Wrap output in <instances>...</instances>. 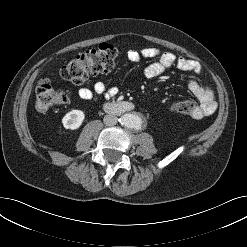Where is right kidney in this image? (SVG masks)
Instances as JSON below:
<instances>
[{"label": "right kidney", "instance_id": "ca27d5eb", "mask_svg": "<svg viewBox=\"0 0 247 247\" xmlns=\"http://www.w3.org/2000/svg\"><path fill=\"white\" fill-rule=\"evenodd\" d=\"M84 118L85 114L83 111L71 110L63 117L62 123L66 129L75 130L81 126Z\"/></svg>", "mask_w": 247, "mask_h": 247}]
</instances>
